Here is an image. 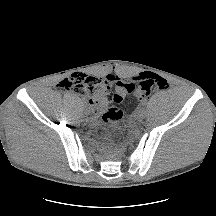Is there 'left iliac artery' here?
Returning a JSON list of instances; mask_svg holds the SVG:
<instances>
[{
	"label": "left iliac artery",
	"instance_id": "left-iliac-artery-1",
	"mask_svg": "<svg viewBox=\"0 0 216 216\" xmlns=\"http://www.w3.org/2000/svg\"><path fill=\"white\" fill-rule=\"evenodd\" d=\"M142 104H143V105H148V104H149V101H148V100H143V101H142Z\"/></svg>",
	"mask_w": 216,
	"mask_h": 216
}]
</instances>
